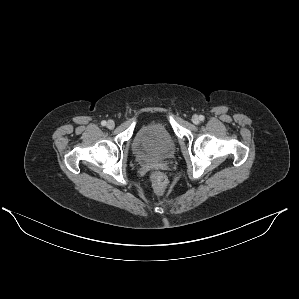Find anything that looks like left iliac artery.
I'll return each instance as SVG.
<instances>
[{
    "instance_id": "1",
    "label": "left iliac artery",
    "mask_w": 299,
    "mask_h": 299,
    "mask_svg": "<svg viewBox=\"0 0 299 299\" xmlns=\"http://www.w3.org/2000/svg\"><path fill=\"white\" fill-rule=\"evenodd\" d=\"M199 119H200L201 121H203V120L205 119V117H204L203 115H200V116H199Z\"/></svg>"
}]
</instances>
